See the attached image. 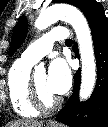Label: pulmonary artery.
<instances>
[{
	"mask_svg": "<svg viewBox=\"0 0 108 127\" xmlns=\"http://www.w3.org/2000/svg\"><path fill=\"white\" fill-rule=\"evenodd\" d=\"M67 38L68 32L65 28H55L31 44L22 53L21 58L29 63L35 64L42 57L51 52L54 42Z\"/></svg>",
	"mask_w": 108,
	"mask_h": 127,
	"instance_id": "e3ab8cb5",
	"label": "pulmonary artery"
}]
</instances>
